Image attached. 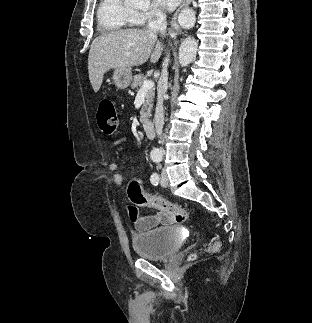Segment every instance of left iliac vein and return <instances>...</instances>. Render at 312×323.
I'll return each instance as SVG.
<instances>
[{
	"instance_id": "4c4485c4",
	"label": "left iliac vein",
	"mask_w": 312,
	"mask_h": 323,
	"mask_svg": "<svg viewBox=\"0 0 312 323\" xmlns=\"http://www.w3.org/2000/svg\"><path fill=\"white\" fill-rule=\"evenodd\" d=\"M162 187H167L168 185V178H167V173L165 170H162L161 172V181H160Z\"/></svg>"
}]
</instances>
